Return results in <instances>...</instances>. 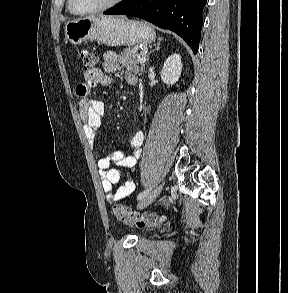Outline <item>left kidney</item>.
Masks as SVG:
<instances>
[{
    "label": "left kidney",
    "instance_id": "1",
    "mask_svg": "<svg viewBox=\"0 0 288 293\" xmlns=\"http://www.w3.org/2000/svg\"><path fill=\"white\" fill-rule=\"evenodd\" d=\"M182 63L179 54L169 56L161 70V79L167 85L175 84L181 75Z\"/></svg>",
    "mask_w": 288,
    "mask_h": 293
}]
</instances>
